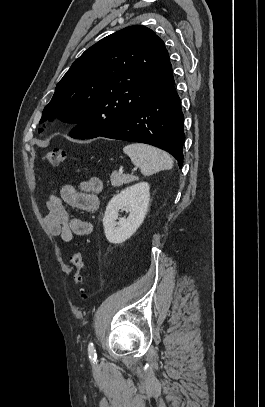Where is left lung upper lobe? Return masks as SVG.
Listing matches in <instances>:
<instances>
[{
  "mask_svg": "<svg viewBox=\"0 0 265 407\" xmlns=\"http://www.w3.org/2000/svg\"><path fill=\"white\" fill-rule=\"evenodd\" d=\"M172 80L162 39L147 27H126L94 44L72 64L57 84L40 123L56 115L61 121L79 124L71 137L95 138Z\"/></svg>",
  "mask_w": 265,
  "mask_h": 407,
  "instance_id": "5c2ea615",
  "label": "left lung upper lobe"
}]
</instances>
